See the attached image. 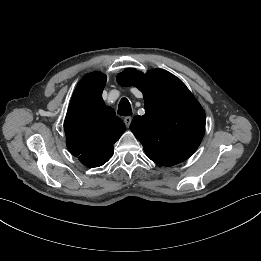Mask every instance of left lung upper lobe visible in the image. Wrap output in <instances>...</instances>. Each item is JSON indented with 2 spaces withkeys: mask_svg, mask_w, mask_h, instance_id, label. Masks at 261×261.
I'll return each instance as SVG.
<instances>
[{
  "mask_svg": "<svg viewBox=\"0 0 261 261\" xmlns=\"http://www.w3.org/2000/svg\"><path fill=\"white\" fill-rule=\"evenodd\" d=\"M117 80L144 95L145 115L134 117L130 129L152 161L172 166L196 151L205 132V112L182 81L163 69L143 74L133 68Z\"/></svg>",
  "mask_w": 261,
  "mask_h": 261,
  "instance_id": "left-lung-upper-lobe-1",
  "label": "left lung upper lobe"
}]
</instances>
